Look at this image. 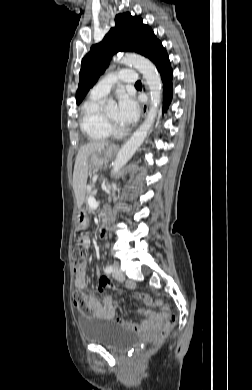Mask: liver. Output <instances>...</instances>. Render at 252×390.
Returning <instances> with one entry per match:
<instances>
[{
    "instance_id": "1",
    "label": "liver",
    "mask_w": 252,
    "mask_h": 390,
    "mask_svg": "<svg viewBox=\"0 0 252 390\" xmlns=\"http://www.w3.org/2000/svg\"><path fill=\"white\" fill-rule=\"evenodd\" d=\"M108 146L107 142H90L80 148L76 156L73 172V189L79 205L82 204L89 172L88 158L95 152H100Z\"/></svg>"
}]
</instances>
